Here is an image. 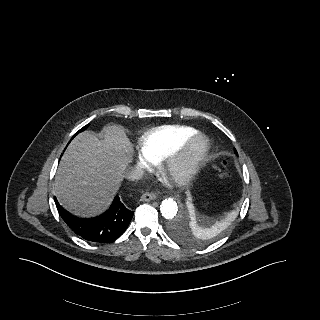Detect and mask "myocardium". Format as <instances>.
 I'll list each match as a JSON object with an SVG mask.
<instances>
[{
  "label": "myocardium",
  "mask_w": 320,
  "mask_h": 320,
  "mask_svg": "<svg viewBox=\"0 0 320 320\" xmlns=\"http://www.w3.org/2000/svg\"><path fill=\"white\" fill-rule=\"evenodd\" d=\"M209 149L208 139L200 133H194L165 159L164 174L179 185L188 183L199 172Z\"/></svg>",
  "instance_id": "f54148a6"
}]
</instances>
